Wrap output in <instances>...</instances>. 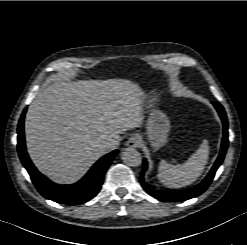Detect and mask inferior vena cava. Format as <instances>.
<instances>
[{
  "label": "inferior vena cava",
  "mask_w": 247,
  "mask_h": 245,
  "mask_svg": "<svg viewBox=\"0 0 247 245\" xmlns=\"http://www.w3.org/2000/svg\"><path fill=\"white\" fill-rule=\"evenodd\" d=\"M102 147L106 152H109L118 147V142L112 138H109L103 142Z\"/></svg>",
  "instance_id": "inferior-vena-cava-1"
}]
</instances>
